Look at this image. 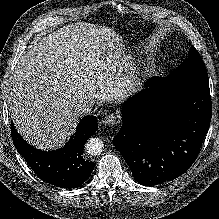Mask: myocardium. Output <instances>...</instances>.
Returning a JSON list of instances; mask_svg holds the SVG:
<instances>
[{
  "label": "myocardium",
  "instance_id": "obj_1",
  "mask_svg": "<svg viewBox=\"0 0 219 219\" xmlns=\"http://www.w3.org/2000/svg\"><path fill=\"white\" fill-rule=\"evenodd\" d=\"M137 70H138L137 66L133 67L132 69L129 70V72L126 76V79H127L128 82L132 81L135 78V76L137 74Z\"/></svg>",
  "mask_w": 219,
  "mask_h": 219
}]
</instances>
